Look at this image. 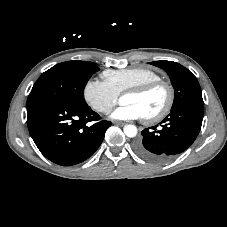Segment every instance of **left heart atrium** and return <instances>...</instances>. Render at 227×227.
<instances>
[{
    "instance_id": "left-heart-atrium-1",
    "label": "left heart atrium",
    "mask_w": 227,
    "mask_h": 227,
    "mask_svg": "<svg viewBox=\"0 0 227 227\" xmlns=\"http://www.w3.org/2000/svg\"><path fill=\"white\" fill-rule=\"evenodd\" d=\"M111 118L116 120H136L143 118V114L133 104H122L111 113Z\"/></svg>"
}]
</instances>
